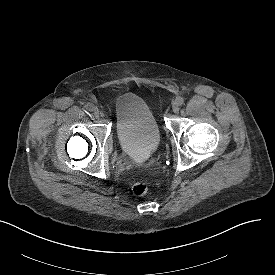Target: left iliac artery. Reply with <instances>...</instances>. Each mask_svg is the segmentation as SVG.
<instances>
[{
  "instance_id": "1",
  "label": "left iliac artery",
  "mask_w": 275,
  "mask_h": 275,
  "mask_svg": "<svg viewBox=\"0 0 275 275\" xmlns=\"http://www.w3.org/2000/svg\"><path fill=\"white\" fill-rule=\"evenodd\" d=\"M176 102L179 104V106H181L184 103V99L179 96V97L176 98Z\"/></svg>"
}]
</instances>
